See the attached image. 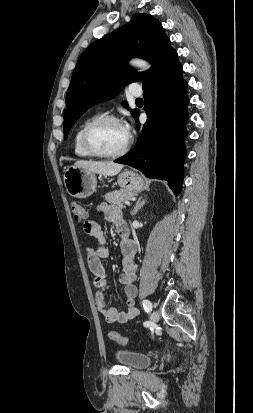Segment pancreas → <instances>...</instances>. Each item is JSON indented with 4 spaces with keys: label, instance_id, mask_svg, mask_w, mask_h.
Listing matches in <instances>:
<instances>
[{
    "label": "pancreas",
    "instance_id": "pancreas-1",
    "mask_svg": "<svg viewBox=\"0 0 253 413\" xmlns=\"http://www.w3.org/2000/svg\"><path fill=\"white\" fill-rule=\"evenodd\" d=\"M134 193L126 191V190H115L113 192H109L105 195V200L121 209L125 208L123 202L126 200H130L133 197Z\"/></svg>",
    "mask_w": 253,
    "mask_h": 413
}]
</instances>
